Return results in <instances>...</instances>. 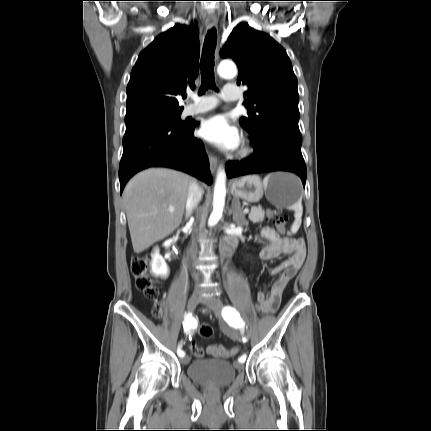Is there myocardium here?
<instances>
[{
	"label": "myocardium",
	"mask_w": 431,
	"mask_h": 431,
	"mask_svg": "<svg viewBox=\"0 0 431 431\" xmlns=\"http://www.w3.org/2000/svg\"><path fill=\"white\" fill-rule=\"evenodd\" d=\"M252 147L250 146L249 143H244L239 151V156L240 157H247L248 155H250L252 153Z\"/></svg>",
	"instance_id": "1"
}]
</instances>
